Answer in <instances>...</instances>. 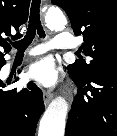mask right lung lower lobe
Wrapping results in <instances>:
<instances>
[{
    "label": "right lung lower lobe",
    "instance_id": "98d812e1",
    "mask_svg": "<svg viewBox=\"0 0 117 136\" xmlns=\"http://www.w3.org/2000/svg\"><path fill=\"white\" fill-rule=\"evenodd\" d=\"M5 63L0 60V69ZM10 83L0 80V136H34L44 111L42 91L33 82L22 89H5Z\"/></svg>",
    "mask_w": 117,
    "mask_h": 136
}]
</instances>
